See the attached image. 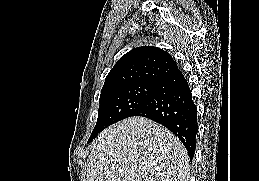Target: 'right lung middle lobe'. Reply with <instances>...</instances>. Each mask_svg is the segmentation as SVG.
I'll list each match as a JSON object with an SVG mask.
<instances>
[{"label":"right lung middle lobe","instance_id":"dd1d6c3e","mask_svg":"<svg viewBox=\"0 0 259 181\" xmlns=\"http://www.w3.org/2000/svg\"><path fill=\"white\" fill-rule=\"evenodd\" d=\"M157 85L137 83L101 91L98 119L88 143L106 127L132 116L153 95Z\"/></svg>","mask_w":259,"mask_h":181}]
</instances>
